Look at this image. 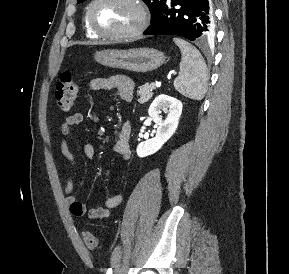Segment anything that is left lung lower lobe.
I'll return each instance as SVG.
<instances>
[{"label": "left lung lower lobe", "mask_w": 289, "mask_h": 274, "mask_svg": "<svg viewBox=\"0 0 289 274\" xmlns=\"http://www.w3.org/2000/svg\"><path fill=\"white\" fill-rule=\"evenodd\" d=\"M144 34L177 35L191 41L206 42L214 35L210 1L166 0L159 17Z\"/></svg>", "instance_id": "1"}]
</instances>
